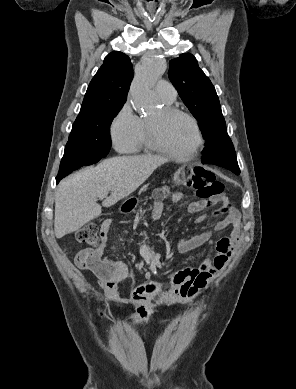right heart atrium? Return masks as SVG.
I'll use <instances>...</instances> for the list:
<instances>
[{
    "mask_svg": "<svg viewBox=\"0 0 296 389\" xmlns=\"http://www.w3.org/2000/svg\"><path fill=\"white\" fill-rule=\"evenodd\" d=\"M142 130V119L135 114L129 103H125L110 124V137L113 146L121 153L136 151Z\"/></svg>",
    "mask_w": 296,
    "mask_h": 389,
    "instance_id": "right-heart-atrium-1",
    "label": "right heart atrium"
}]
</instances>
